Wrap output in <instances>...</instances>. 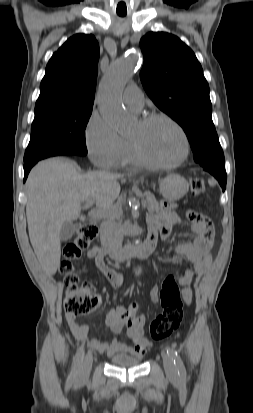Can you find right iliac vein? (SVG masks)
<instances>
[{
    "mask_svg": "<svg viewBox=\"0 0 253 413\" xmlns=\"http://www.w3.org/2000/svg\"><path fill=\"white\" fill-rule=\"evenodd\" d=\"M93 362V356L91 353H88L81 365V368L77 374V380L80 382H84L88 379L91 367Z\"/></svg>",
    "mask_w": 253,
    "mask_h": 413,
    "instance_id": "1",
    "label": "right iliac vein"
}]
</instances>
